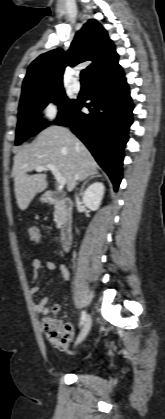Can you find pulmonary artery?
I'll return each instance as SVG.
<instances>
[{
    "mask_svg": "<svg viewBox=\"0 0 165 419\" xmlns=\"http://www.w3.org/2000/svg\"><path fill=\"white\" fill-rule=\"evenodd\" d=\"M72 90L74 91V92H79L80 90H81V85H80V83L78 82V81H75L73 84H72Z\"/></svg>",
    "mask_w": 165,
    "mask_h": 419,
    "instance_id": "1",
    "label": "pulmonary artery"
}]
</instances>
